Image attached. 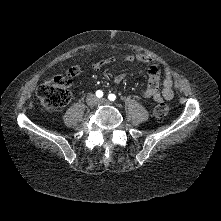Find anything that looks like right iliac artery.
<instances>
[{
	"label": "right iliac artery",
	"instance_id": "82829eb1",
	"mask_svg": "<svg viewBox=\"0 0 221 221\" xmlns=\"http://www.w3.org/2000/svg\"><path fill=\"white\" fill-rule=\"evenodd\" d=\"M103 96V92L101 90L96 91V97L101 98Z\"/></svg>",
	"mask_w": 221,
	"mask_h": 221
}]
</instances>
